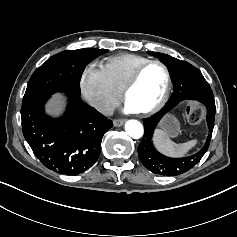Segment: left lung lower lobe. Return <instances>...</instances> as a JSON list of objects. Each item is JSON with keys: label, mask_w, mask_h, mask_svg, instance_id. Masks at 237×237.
I'll return each mask as SVG.
<instances>
[{"label": "left lung lower lobe", "mask_w": 237, "mask_h": 237, "mask_svg": "<svg viewBox=\"0 0 237 237\" xmlns=\"http://www.w3.org/2000/svg\"><path fill=\"white\" fill-rule=\"evenodd\" d=\"M200 102L203 103L207 108V123H208V127H209V133H210V135H212V131H213V127H214L215 112H216L215 101H214V99H204ZM169 110H171V109H169ZM169 110H167L166 107H164L162 109V111L158 113V115H161V117H162ZM198 162H199V160L197 161V163Z\"/></svg>", "instance_id": "0a47b994"}]
</instances>
